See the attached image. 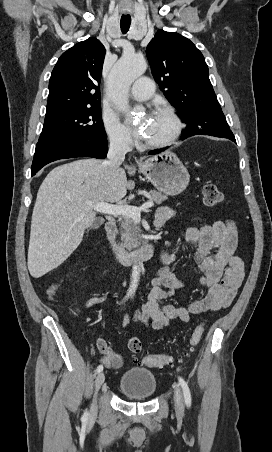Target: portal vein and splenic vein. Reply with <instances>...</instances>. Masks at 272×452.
Wrapping results in <instances>:
<instances>
[{
	"label": "portal vein and splenic vein",
	"mask_w": 272,
	"mask_h": 452,
	"mask_svg": "<svg viewBox=\"0 0 272 452\" xmlns=\"http://www.w3.org/2000/svg\"><path fill=\"white\" fill-rule=\"evenodd\" d=\"M90 206L93 207L94 210L104 214L122 215L131 217L133 219H139L141 211H145L146 209L153 207L154 203L152 201H148L144 203L142 206L136 207L127 204L113 205L101 202L95 205H92V203H90Z\"/></svg>",
	"instance_id": "1"
}]
</instances>
